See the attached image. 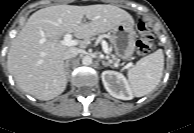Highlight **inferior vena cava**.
<instances>
[{
	"label": "inferior vena cava",
	"instance_id": "1",
	"mask_svg": "<svg viewBox=\"0 0 194 133\" xmlns=\"http://www.w3.org/2000/svg\"><path fill=\"white\" fill-rule=\"evenodd\" d=\"M78 53H79V49L72 47V48H69L64 53L63 58H64V60H68V59L76 57L78 55Z\"/></svg>",
	"mask_w": 194,
	"mask_h": 133
}]
</instances>
